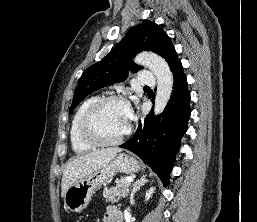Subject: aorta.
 Returning a JSON list of instances; mask_svg holds the SVG:
<instances>
[{"label": "aorta", "instance_id": "obj_1", "mask_svg": "<svg viewBox=\"0 0 257 222\" xmlns=\"http://www.w3.org/2000/svg\"><path fill=\"white\" fill-rule=\"evenodd\" d=\"M135 62L148 67L157 79L154 113L158 115L163 112L172 93L173 75L169 65L162 57L151 52L139 53Z\"/></svg>", "mask_w": 257, "mask_h": 222}]
</instances>
